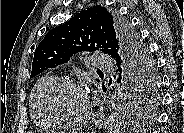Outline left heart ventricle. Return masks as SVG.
I'll return each mask as SVG.
<instances>
[{
    "label": "left heart ventricle",
    "instance_id": "b2bd125f",
    "mask_svg": "<svg viewBox=\"0 0 184 133\" xmlns=\"http://www.w3.org/2000/svg\"><path fill=\"white\" fill-rule=\"evenodd\" d=\"M56 110L62 117L77 119L83 116L87 110V95L79 89L67 88L56 97Z\"/></svg>",
    "mask_w": 184,
    "mask_h": 133
}]
</instances>
